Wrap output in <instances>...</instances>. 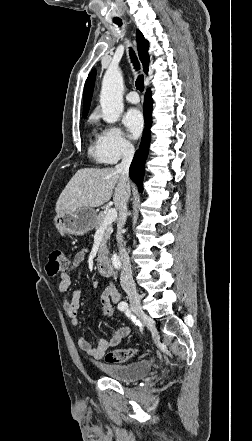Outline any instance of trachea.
Listing matches in <instances>:
<instances>
[{
  "instance_id": "trachea-1",
  "label": "trachea",
  "mask_w": 252,
  "mask_h": 441,
  "mask_svg": "<svg viewBox=\"0 0 252 441\" xmlns=\"http://www.w3.org/2000/svg\"><path fill=\"white\" fill-rule=\"evenodd\" d=\"M114 22L116 24H118L119 26L122 25L121 20H115ZM130 57H131V62L133 63L134 68L136 70H139L140 65H139L138 59L135 56L133 51H130ZM136 88L141 92L144 91V77H143V75H139L138 78L136 79Z\"/></svg>"
}]
</instances>
